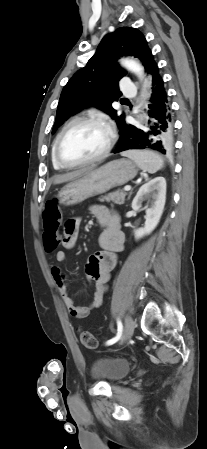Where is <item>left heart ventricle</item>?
<instances>
[{
    "mask_svg": "<svg viewBox=\"0 0 207 449\" xmlns=\"http://www.w3.org/2000/svg\"><path fill=\"white\" fill-rule=\"evenodd\" d=\"M108 141L107 131L98 125L80 124L71 128L64 136L61 156L68 162H78L100 154Z\"/></svg>",
    "mask_w": 207,
    "mask_h": 449,
    "instance_id": "b2bd125f",
    "label": "left heart ventricle"
}]
</instances>
